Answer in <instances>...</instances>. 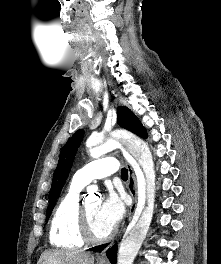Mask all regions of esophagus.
Listing matches in <instances>:
<instances>
[{
    "mask_svg": "<svg viewBox=\"0 0 221 264\" xmlns=\"http://www.w3.org/2000/svg\"><path fill=\"white\" fill-rule=\"evenodd\" d=\"M127 188L128 191L132 197V205L130 207L129 210V216H128V220L130 221L135 209H136V204H137V188H136V179H135V175H134V171L132 169L131 166L128 167V181H127ZM106 249H104L103 251H101V253L97 256V260L100 263H106L107 262V258H106Z\"/></svg>",
    "mask_w": 221,
    "mask_h": 264,
    "instance_id": "esophagus-1",
    "label": "esophagus"
}]
</instances>
